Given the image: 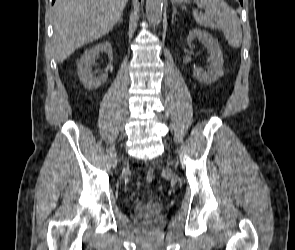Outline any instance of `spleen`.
Masks as SVG:
<instances>
[{
  "mask_svg": "<svg viewBox=\"0 0 295 250\" xmlns=\"http://www.w3.org/2000/svg\"><path fill=\"white\" fill-rule=\"evenodd\" d=\"M205 7V13L193 11L195 21L204 27L221 29L228 44L239 48L242 43V29L235 10L224 0H200Z\"/></svg>",
  "mask_w": 295,
  "mask_h": 250,
  "instance_id": "1",
  "label": "spleen"
}]
</instances>
